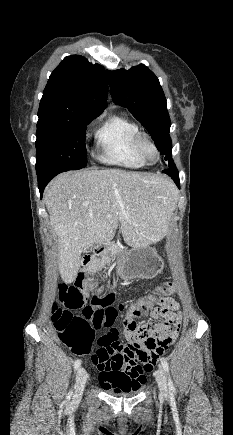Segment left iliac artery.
Segmentation results:
<instances>
[{
  "label": "left iliac artery",
  "mask_w": 233,
  "mask_h": 435,
  "mask_svg": "<svg viewBox=\"0 0 233 435\" xmlns=\"http://www.w3.org/2000/svg\"><path fill=\"white\" fill-rule=\"evenodd\" d=\"M161 365H162L163 369H164V370L167 372V374H168V373H169V365H168V362H167V360H166L165 358H163V359L161 360ZM168 378H169V379H168L169 391L174 392L175 387H174V385H173V382H172L170 376H169Z\"/></svg>",
  "instance_id": "44dca946"
}]
</instances>
